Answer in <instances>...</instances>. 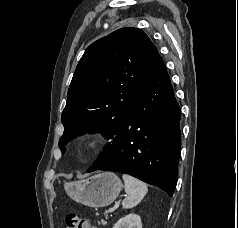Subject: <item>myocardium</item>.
<instances>
[{
    "label": "myocardium",
    "instance_id": "obj_1",
    "mask_svg": "<svg viewBox=\"0 0 238 228\" xmlns=\"http://www.w3.org/2000/svg\"><path fill=\"white\" fill-rule=\"evenodd\" d=\"M105 141V136L100 131H94L84 136L79 145L78 150L82 155H90L101 148Z\"/></svg>",
    "mask_w": 238,
    "mask_h": 228
}]
</instances>
